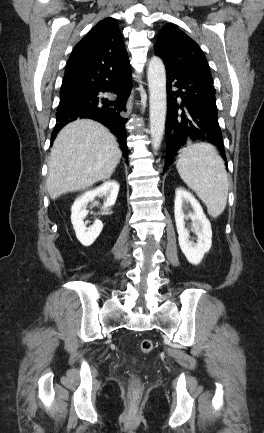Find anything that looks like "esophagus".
Segmentation results:
<instances>
[{
	"instance_id": "obj_1",
	"label": "esophagus",
	"mask_w": 264,
	"mask_h": 433,
	"mask_svg": "<svg viewBox=\"0 0 264 433\" xmlns=\"http://www.w3.org/2000/svg\"><path fill=\"white\" fill-rule=\"evenodd\" d=\"M133 106V95H131L127 101V110L130 111Z\"/></svg>"
}]
</instances>
